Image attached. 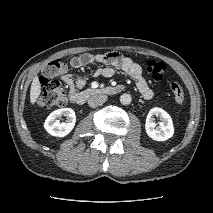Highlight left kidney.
<instances>
[{
	"label": "left kidney",
	"mask_w": 213,
	"mask_h": 213,
	"mask_svg": "<svg viewBox=\"0 0 213 213\" xmlns=\"http://www.w3.org/2000/svg\"><path fill=\"white\" fill-rule=\"evenodd\" d=\"M153 116H157L161 120L158 127H156ZM145 129L147 135L155 141H166L174 134L171 116L159 107H154L149 111L146 118Z\"/></svg>",
	"instance_id": "left-kidney-1"
}]
</instances>
